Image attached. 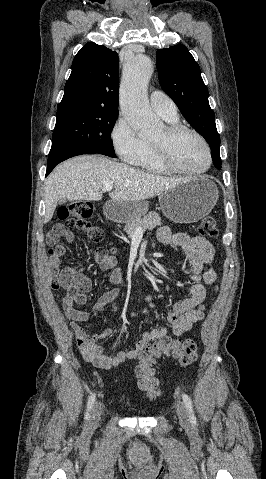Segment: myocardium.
<instances>
[{"mask_svg":"<svg viewBox=\"0 0 266 479\" xmlns=\"http://www.w3.org/2000/svg\"><path fill=\"white\" fill-rule=\"evenodd\" d=\"M164 129H165V136L159 140L153 139L152 142L155 147L156 154L159 161L169 172L184 174V175H201L206 173L210 169L212 165V160H213L212 152L207 140L204 138L202 134H200L197 130L187 125L179 124V123L167 124L164 127ZM184 132L194 135L202 143L205 149L206 156H207V163H206V166L200 170L183 169L174 162V160L172 159L170 155L169 141L172 138H174L176 135L184 133Z\"/></svg>","mask_w":266,"mask_h":479,"instance_id":"myocardium-1","label":"myocardium"}]
</instances>
